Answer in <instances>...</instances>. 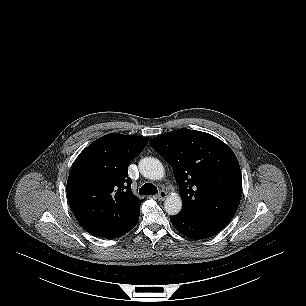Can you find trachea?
Listing matches in <instances>:
<instances>
[{
  "label": "trachea",
  "mask_w": 306,
  "mask_h": 306,
  "mask_svg": "<svg viewBox=\"0 0 306 306\" xmlns=\"http://www.w3.org/2000/svg\"><path fill=\"white\" fill-rule=\"evenodd\" d=\"M156 193H158V190L156 186L151 183L144 184L139 190L140 195H155Z\"/></svg>",
  "instance_id": "obj_1"
}]
</instances>
